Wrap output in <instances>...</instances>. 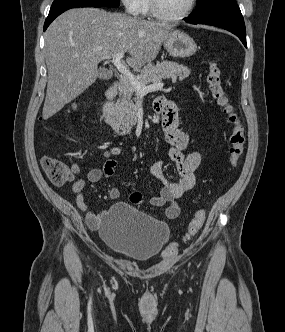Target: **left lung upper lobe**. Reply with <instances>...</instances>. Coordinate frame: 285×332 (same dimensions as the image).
I'll return each mask as SVG.
<instances>
[{"instance_id": "obj_1", "label": "left lung upper lobe", "mask_w": 285, "mask_h": 332, "mask_svg": "<svg viewBox=\"0 0 285 332\" xmlns=\"http://www.w3.org/2000/svg\"><path fill=\"white\" fill-rule=\"evenodd\" d=\"M228 16H242L236 0H197L189 18L204 20Z\"/></svg>"}]
</instances>
